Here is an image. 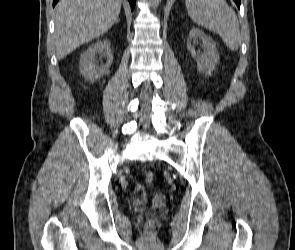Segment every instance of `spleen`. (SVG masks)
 <instances>
[{"label": "spleen", "instance_id": "1", "mask_svg": "<svg viewBox=\"0 0 295 250\" xmlns=\"http://www.w3.org/2000/svg\"><path fill=\"white\" fill-rule=\"evenodd\" d=\"M185 4L193 22L217 33L231 51L238 50L239 22L225 0H185Z\"/></svg>", "mask_w": 295, "mask_h": 250}]
</instances>
